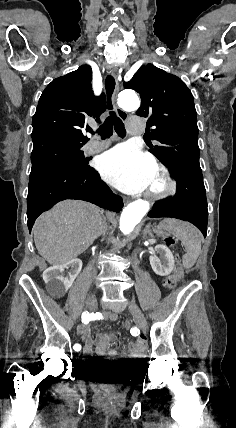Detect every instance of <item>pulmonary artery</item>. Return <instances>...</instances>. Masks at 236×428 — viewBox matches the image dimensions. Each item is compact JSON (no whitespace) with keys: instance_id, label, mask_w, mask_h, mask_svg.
Returning <instances> with one entry per match:
<instances>
[{"instance_id":"obj_1","label":"pulmonary artery","mask_w":236,"mask_h":428,"mask_svg":"<svg viewBox=\"0 0 236 428\" xmlns=\"http://www.w3.org/2000/svg\"><path fill=\"white\" fill-rule=\"evenodd\" d=\"M109 144L110 142H100L92 140L86 145L85 152L86 154H96L105 150L109 146Z\"/></svg>"}]
</instances>
